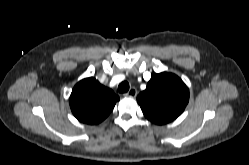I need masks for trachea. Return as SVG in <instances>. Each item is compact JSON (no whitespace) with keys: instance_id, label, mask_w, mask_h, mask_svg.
I'll list each match as a JSON object with an SVG mask.
<instances>
[{"instance_id":"3493384b","label":"trachea","mask_w":249,"mask_h":165,"mask_svg":"<svg viewBox=\"0 0 249 165\" xmlns=\"http://www.w3.org/2000/svg\"><path fill=\"white\" fill-rule=\"evenodd\" d=\"M129 90V83L124 81V82H121L118 86V91L119 93H126L128 92Z\"/></svg>"}]
</instances>
